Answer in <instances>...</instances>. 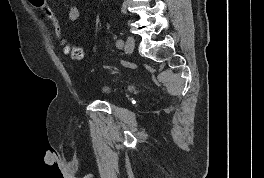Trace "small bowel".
<instances>
[{
	"label": "small bowel",
	"instance_id": "1",
	"mask_svg": "<svg viewBox=\"0 0 264 178\" xmlns=\"http://www.w3.org/2000/svg\"><path fill=\"white\" fill-rule=\"evenodd\" d=\"M80 17V10L77 5H72L68 10V19L71 22H75Z\"/></svg>",
	"mask_w": 264,
	"mask_h": 178
}]
</instances>
